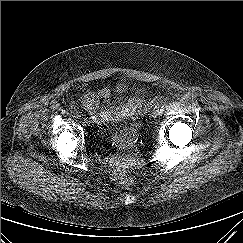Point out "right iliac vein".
<instances>
[{
  "label": "right iliac vein",
  "mask_w": 243,
  "mask_h": 243,
  "mask_svg": "<svg viewBox=\"0 0 243 243\" xmlns=\"http://www.w3.org/2000/svg\"><path fill=\"white\" fill-rule=\"evenodd\" d=\"M83 122H85L86 123V118L84 117V116H81V118H80Z\"/></svg>",
  "instance_id": "obj_1"
}]
</instances>
